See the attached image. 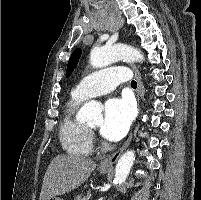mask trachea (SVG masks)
<instances>
[{
    "label": "trachea",
    "mask_w": 201,
    "mask_h": 200,
    "mask_svg": "<svg viewBox=\"0 0 201 200\" xmlns=\"http://www.w3.org/2000/svg\"><path fill=\"white\" fill-rule=\"evenodd\" d=\"M131 86H132L133 88H136V87H137V82H136L135 80H132V81H131Z\"/></svg>",
    "instance_id": "3493384b"
}]
</instances>
